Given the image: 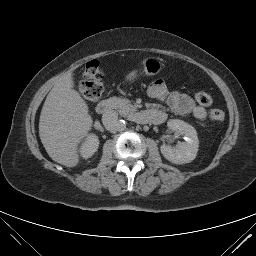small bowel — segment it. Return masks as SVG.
Returning a JSON list of instances; mask_svg holds the SVG:
<instances>
[{"instance_id": "1", "label": "small bowel", "mask_w": 256, "mask_h": 256, "mask_svg": "<svg viewBox=\"0 0 256 256\" xmlns=\"http://www.w3.org/2000/svg\"><path fill=\"white\" fill-rule=\"evenodd\" d=\"M147 93L151 98L165 102L174 112L181 115H192L197 120L203 121L207 118V111L204 107L198 105L188 95L178 91H169L166 84L162 80L153 81ZM161 123L165 120L166 115L160 109H152Z\"/></svg>"}]
</instances>
